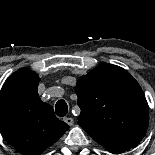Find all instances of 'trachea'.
<instances>
[{
	"mask_svg": "<svg viewBox=\"0 0 155 155\" xmlns=\"http://www.w3.org/2000/svg\"><path fill=\"white\" fill-rule=\"evenodd\" d=\"M55 112L59 117H64L68 112L67 103L64 100H59L55 105Z\"/></svg>",
	"mask_w": 155,
	"mask_h": 155,
	"instance_id": "3493384b",
	"label": "trachea"
}]
</instances>
